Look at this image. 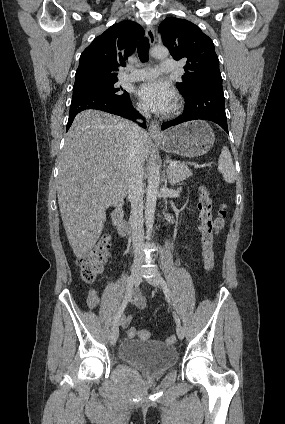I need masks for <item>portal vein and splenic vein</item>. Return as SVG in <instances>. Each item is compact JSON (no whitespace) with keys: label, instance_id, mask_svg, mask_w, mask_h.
Instances as JSON below:
<instances>
[{"label":"portal vein and splenic vein","instance_id":"18ae733b","mask_svg":"<svg viewBox=\"0 0 285 424\" xmlns=\"http://www.w3.org/2000/svg\"><path fill=\"white\" fill-rule=\"evenodd\" d=\"M177 164H178V162H171V163L169 164L168 168H169V169H171V168L175 167ZM194 166H195V167H199V165H197V164H194ZM101 176H102V177H104V176H105V174H102Z\"/></svg>","mask_w":285,"mask_h":424}]
</instances>
